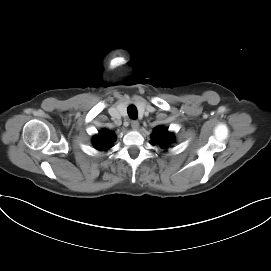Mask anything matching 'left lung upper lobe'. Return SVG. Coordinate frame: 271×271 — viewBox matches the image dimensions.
<instances>
[{"instance_id": "left-lung-upper-lobe-1", "label": "left lung upper lobe", "mask_w": 271, "mask_h": 271, "mask_svg": "<svg viewBox=\"0 0 271 271\" xmlns=\"http://www.w3.org/2000/svg\"><path fill=\"white\" fill-rule=\"evenodd\" d=\"M151 137L153 139L151 143L153 145L159 144L161 148H167L175 140L173 133H170L167 128L160 126L154 129Z\"/></svg>"}]
</instances>
